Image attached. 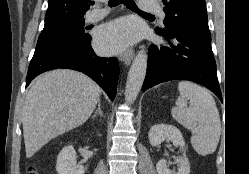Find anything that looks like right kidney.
<instances>
[{"instance_id":"ca27d5eb","label":"right kidney","mask_w":249,"mask_h":174,"mask_svg":"<svg viewBox=\"0 0 249 174\" xmlns=\"http://www.w3.org/2000/svg\"><path fill=\"white\" fill-rule=\"evenodd\" d=\"M58 174H84L85 168L77 164L76 151L72 145L64 147L57 157Z\"/></svg>"}]
</instances>
